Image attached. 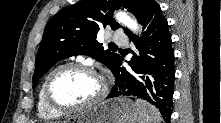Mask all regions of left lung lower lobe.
Instances as JSON below:
<instances>
[{
	"mask_svg": "<svg viewBox=\"0 0 221 123\" xmlns=\"http://www.w3.org/2000/svg\"><path fill=\"white\" fill-rule=\"evenodd\" d=\"M139 23L143 25L142 37L131 32L127 35L140 53L134 54L128 62L129 71L121 67L123 57L119 56L111 70L115 86L107 98L122 95L142 98L155 105L169 122L173 107L175 57L168 23L154 0L146 7Z\"/></svg>",
	"mask_w": 221,
	"mask_h": 123,
	"instance_id": "obj_1",
	"label": "left lung lower lobe"
}]
</instances>
